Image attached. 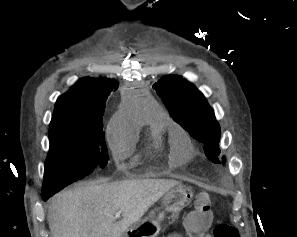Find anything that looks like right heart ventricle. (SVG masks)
I'll use <instances>...</instances> for the list:
<instances>
[{"label": "right heart ventricle", "instance_id": "e07e8e85", "mask_svg": "<svg viewBox=\"0 0 297 237\" xmlns=\"http://www.w3.org/2000/svg\"><path fill=\"white\" fill-rule=\"evenodd\" d=\"M151 149H157V146L153 142H151Z\"/></svg>", "mask_w": 297, "mask_h": 237}]
</instances>
